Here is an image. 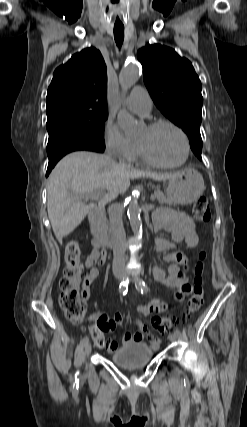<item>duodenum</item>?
<instances>
[{
  "mask_svg": "<svg viewBox=\"0 0 247 427\" xmlns=\"http://www.w3.org/2000/svg\"><path fill=\"white\" fill-rule=\"evenodd\" d=\"M104 208L97 207L89 215L90 229L94 241L101 247L108 248L111 245L104 223Z\"/></svg>",
  "mask_w": 247,
  "mask_h": 427,
  "instance_id": "duodenum-1",
  "label": "duodenum"
}]
</instances>
